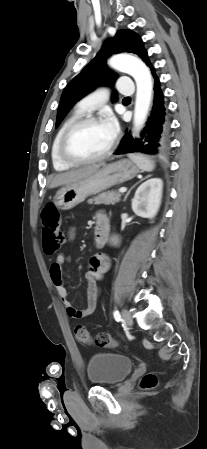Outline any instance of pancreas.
Masks as SVG:
<instances>
[{
	"label": "pancreas",
	"instance_id": "pancreas-1",
	"mask_svg": "<svg viewBox=\"0 0 207 449\" xmlns=\"http://www.w3.org/2000/svg\"><path fill=\"white\" fill-rule=\"evenodd\" d=\"M120 199H121L120 193H117L116 191H110V192L101 193V194L95 196L94 198L89 199L88 203L95 204V205H100V204L110 205V204L118 203L120 201Z\"/></svg>",
	"mask_w": 207,
	"mask_h": 449
}]
</instances>
